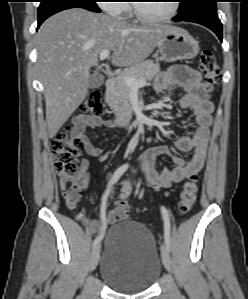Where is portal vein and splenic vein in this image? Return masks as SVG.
<instances>
[{
	"instance_id": "1",
	"label": "portal vein and splenic vein",
	"mask_w": 248,
	"mask_h": 299,
	"mask_svg": "<svg viewBox=\"0 0 248 299\" xmlns=\"http://www.w3.org/2000/svg\"><path fill=\"white\" fill-rule=\"evenodd\" d=\"M110 55V51L109 50H103L100 55L99 58L101 61H103L104 59H106L107 57H109ZM123 81L131 87V89H138L140 87H143L146 82L144 80H138L135 77L132 76H125L123 77Z\"/></svg>"
}]
</instances>
